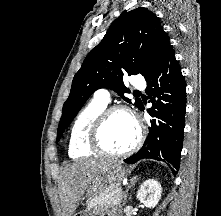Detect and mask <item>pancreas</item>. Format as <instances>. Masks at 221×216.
<instances>
[{
  "label": "pancreas",
  "instance_id": "pancreas-1",
  "mask_svg": "<svg viewBox=\"0 0 221 216\" xmlns=\"http://www.w3.org/2000/svg\"><path fill=\"white\" fill-rule=\"evenodd\" d=\"M122 189L117 184L111 185L108 189H106L103 193L94 197L90 201L91 206L101 205H120L122 201Z\"/></svg>",
  "mask_w": 221,
  "mask_h": 216
}]
</instances>
